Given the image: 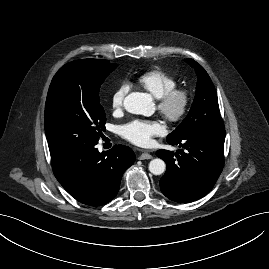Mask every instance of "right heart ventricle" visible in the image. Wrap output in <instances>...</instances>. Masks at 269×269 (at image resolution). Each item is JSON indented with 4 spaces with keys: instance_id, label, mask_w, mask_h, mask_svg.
Listing matches in <instances>:
<instances>
[{
    "instance_id": "e07e8e85",
    "label": "right heart ventricle",
    "mask_w": 269,
    "mask_h": 269,
    "mask_svg": "<svg viewBox=\"0 0 269 269\" xmlns=\"http://www.w3.org/2000/svg\"><path fill=\"white\" fill-rule=\"evenodd\" d=\"M138 84L153 97L159 98L177 86L176 78L160 69L147 71L139 76Z\"/></svg>"
}]
</instances>
